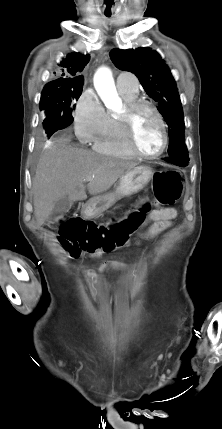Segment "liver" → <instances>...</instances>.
Listing matches in <instances>:
<instances>
[{"instance_id":"liver-1","label":"liver","mask_w":222,"mask_h":429,"mask_svg":"<svg viewBox=\"0 0 222 429\" xmlns=\"http://www.w3.org/2000/svg\"><path fill=\"white\" fill-rule=\"evenodd\" d=\"M137 163L106 157L90 150L65 144L51 145L42 154L32 182L34 214L43 225L57 201L68 196L72 201L87 198L83 183L91 195L107 191Z\"/></svg>"}]
</instances>
